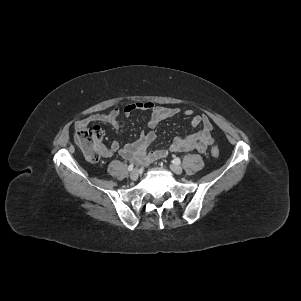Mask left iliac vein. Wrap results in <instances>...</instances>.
Listing matches in <instances>:
<instances>
[{
	"instance_id": "left-iliac-vein-1",
	"label": "left iliac vein",
	"mask_w": 301,
	"mask_h": 301,
	"mask_svg": "<svg viewBox=\"0 0 301 301\" xmlns=\"http://www.w3.org/2000/svg\"><path fill=\"white\" fill-rule=\"evenodd\" d=\"M171 170L175 173V174H181L183 172V169L180 165L177 164H171L170 165Z\"/></svg>"
}]
</instances>
